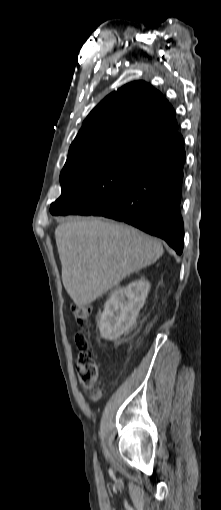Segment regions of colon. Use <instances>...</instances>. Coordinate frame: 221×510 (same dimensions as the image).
<instances>
[{
    "label": "colon",
    "mask_w": 221,
    "mask_h": 510,
    "mask_svg": "<svg viewBox=\"0 0 221 510\" xmlns=\"http://www.w3.org/2000/svg\"><path fill=\"white\" fill-rule=\"evenodd\" d=\"M71 310L78 325H87L91 315L90 306L73 304L71 306ZM76 345L78 348V380L81 385L91 391L90 400L95 402L100 398V393L94 390L99 373V367L94 358L88 336L84 333L77 334Z\"/></svg>",
    "instance_id": "colon-1"
}]
</instances>
